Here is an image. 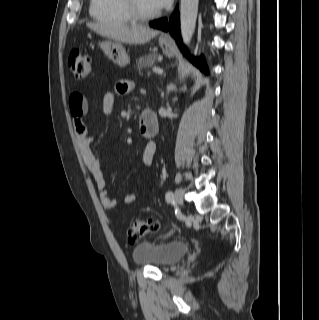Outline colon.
Returning <instances> with one entry per match:
<instances>
[{
  "instance_id": "5ec220e1",
  "label": "colon",
  "mask_w": 319,
  "mask_h": 320,
  "mask_svg": "<svg viewBox=\"0 0 319 320\" xmlns=\"http://www.w3.org/2000/svg\"><path fill=\"white\" fill-rule=\"evenodd\" d=\"M68 63L72 74L77 79H85L91 72V56L82 50H72ZM158 229L159 222L156 219H135L126 229L125 235L129 241H135L142 236H149L156 233Z\"/></svg>"
}]
</instances>
